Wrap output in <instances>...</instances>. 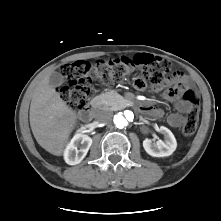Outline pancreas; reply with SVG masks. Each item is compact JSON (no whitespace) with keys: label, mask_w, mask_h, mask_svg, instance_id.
<instances>
[{"label":"pancreas","mask_w":221,"mask_h":221,"mask_svg":"<svg viewBox=\"0 0 221 221\" xmlns=\"http://www.w3.org/2000/svg\"><path fill=\"white\" fill-rule=\"evenodd\" d=\"M103 108L117 110L123 107L124 98L115 91H107L98 96Z\"/></svg>","instance_id":"cf45deb5"}]
</instances>
